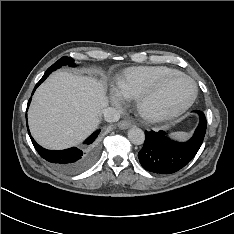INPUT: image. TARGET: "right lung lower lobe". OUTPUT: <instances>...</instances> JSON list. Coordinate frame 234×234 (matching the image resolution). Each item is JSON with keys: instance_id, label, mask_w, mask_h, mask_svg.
Returning <instances> with one entry per match:
<instances>
[{"instance_id": "right-lung-lower-lobe-1", "label": "right lung lower lobe", "mask_w": 234, "mask_h": 234, "mask_svg": "<svg viewBox=\"0 0 234 234\" xmlns=\"http://www.w3.org/2000/svg\"><path fill=\"white\" fill-rule=\"evenodd\" d=\"M49 74L50 72H45L44 76L36 84L33 93L35 89L49 76ZM30 101L31 98L29 99L28 106L30 104ZM99 132L100 130H97L89 138L86 139L84 144H86L87 146L83 150H80L76 147L59 151L47 150L38 145L31 136L30 138L35 149L42 158L52 163L57 169L62 172L75 174L85 170L94 162L97 155L96 139Z\"/></svg>"}]
</instances>
